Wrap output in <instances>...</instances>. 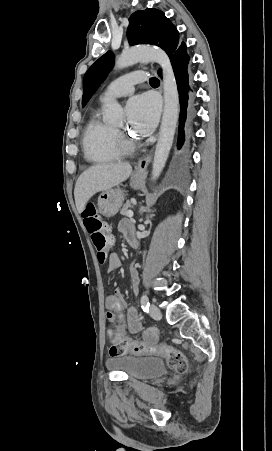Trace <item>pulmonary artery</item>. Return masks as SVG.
Instances as JSON below:
<instances>
[{
  "label": "pulmonary artery",
  "instance_id": "obj_1",
  "mask_svg": "<svg viewBox=\"0 0 272 451\" xmlns=\"http://www.w3.org/2000/svg\"><path fill=\"white\" fill-rule=\"evenodd\" d=\"M150 73L145 70H138L133 72L132 70L129 74H126L119 79L113 81L103 92L100 97L101 102H105L110 98H118L128 96L133 93L134 85L136 83L142 82L146 77H149Z\"/></svg>",
  "mask_w": 272,
  "mask_h": 451
}]
</instances>
